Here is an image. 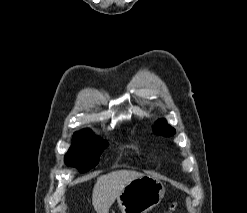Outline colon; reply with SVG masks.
<instances>
[{"mask_svg":"<svg viewBox=\"0 0 247 213\" xmlns=\"http://www.w3.org/2000/svg\"><path fill=\"white\" fill-rule=\"evenodd\" d=\"M175 211H176V206H175V205H172V206L169 208L168 212H166V213H175Z\"/></svg>","mask_w":247,"mask_h":213,"instance_id":"colon-1","label":"colon"}]
</instances>
